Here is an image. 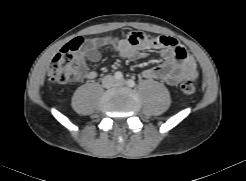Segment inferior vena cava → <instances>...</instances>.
<instances>
[{"mask_svg": "<svg viewBox=\"0 0 246 181\" xmlns=\"http://www.w3.org/2000/svg\"><path fill=\"white\" fill-rule=\"evenodd\" d=\"M111 80H113V77L112 76H110V75L105 76L104 79H103L104 85L107 86L108 85V82L111 81Z\"/></svg>", "mask_w": 246, "mask_h": 181, "instance_id": "602c4592", "label": "inferior vena cava"}]
</instances>
